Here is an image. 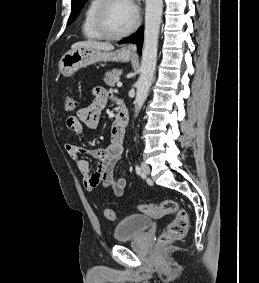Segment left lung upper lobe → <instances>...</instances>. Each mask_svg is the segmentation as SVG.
<instances>
[{"label": "left lung upper lobe", "instance_id": "obj_1", "mask_svg": "<svg viewBox=\"0 0 259 283\" xmlns=\"http://www.w3.org/2000/svg\"><path fill=\"white\" fill-rule=\"evenodd\" d=\"M87 0H72L71 14L68 20V24L72 23L78 16L80 10L84 6Z\"/></svg>", "mask_w": 259, "mask_h": 283}]
</instances>
